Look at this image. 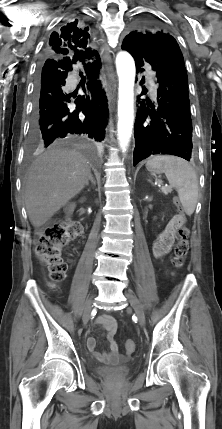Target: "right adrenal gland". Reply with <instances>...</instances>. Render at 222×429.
Instances as JSON below:
<instances>
[{
    "instance_id": "obj_1",
    "label": "right adrenal gland",
    "mask_w": 222,
    "mask_h": 429,
    "mask_svg": "<svg viewBox=\"0 0 222 429\" xmlns=\"http://www.w3.org/2000/svg\"><path fill=\"white\" fill-rule=\"evenodd\" d=\"M93 185H96V181H95V179L93 178V176H92V174L90 173V175H89V179H88ZM89 185V182L87 181L86 182V186H88Z\"/></svg>"
}]
</instances>
